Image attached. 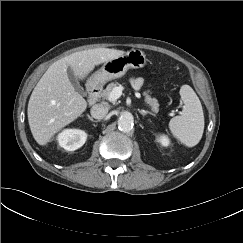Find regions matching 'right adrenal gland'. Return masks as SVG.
<instances>
[{
	"mask_svg": "<svg viewBox=\"0 0 243 243\" xmlns=\"http://www.w3.org/2000/svg\"><path fill=\"white\" fill-rule=\"evenodd\" d=\"M87 117H88L92 122H98V121L94 120L89 114H87Z\"/></svg>",
	"mask_w": 243,
	"mask_h": 243,
	"instance_id": "right-adrenal-gland-1",
	"label": "right adrenal gland"
}]
</instances>
